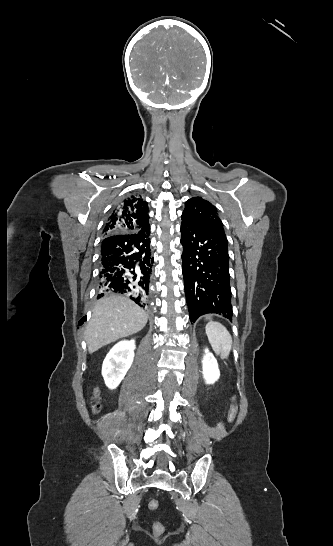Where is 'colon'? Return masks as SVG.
Segmentation results:
<instances>
[{"label":"colon","mask_w":333,"mask_h":546,"mask_svg":"<svg viewBox=\"0 0 333 546\" xmlns=\"http://www.w3.org/2000/svg\"><path fill=\"white\" fill-rule=\"evenodd\" d=\"M94 411L95 412H98L99 409H100V405L98 402H96V404L94 405L93 407ZM237 412H238V407L236 404H233L230 409H229V412H228V415H227V419L229 422H234L236 416H237ZM148 507L150 510H157L159 508V502L157 500H151L148 504ZM164 526L159 523V522H156L154 525H153V532L157 535H161L164 533Z\"/></svg>","instance_id":"obj_1"}]
</instances>
